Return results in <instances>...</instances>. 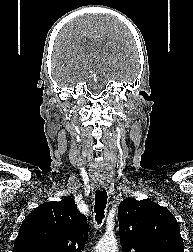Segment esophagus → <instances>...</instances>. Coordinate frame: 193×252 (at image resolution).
Segmentation results:
<instances>
[{
  "mask_svg": "<svg viewBox=\"0 0 193 252\" xmlns=\"http://www.w3.org/2000/svg\"><path fill=\"white\" fill-rule=\"evenodd\" d=\"M97 187H98V189H99V190H102V189H104V188H105V184H98V186H97Z\"/></svg>",
  "mask_w": 193,
  "mask_h": 252,
  "instance_id": "34e87169",
  "label": "esophagus"
}]
</instances>
